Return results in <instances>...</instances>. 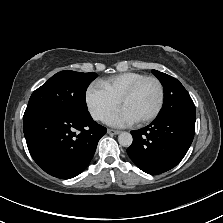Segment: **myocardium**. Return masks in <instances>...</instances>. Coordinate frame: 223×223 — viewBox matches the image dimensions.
<instances>
[{
	"mask_svg": "<svg viewBox=\"0 0 223 223\" xmlns=\"http://www.w3.org/2000/svg\"><path fill=\"white\" fill-rule=\"evenodd\" d=\"M147 81H153L156 84V86L158 88V101H157V105H156L155 109L153 110V112L145 118L136 120V122H138V123L150 122V121L154 120L160 113L162 106H163V101H164V89H163V85L160 82V80L154 76H146V77L140 79L139 81H137L132 87H130L119 98V105L121 106L123 101H125L126 99L133 96L137 92V90Z\"/></svg>",
	"mask_w": 223,
	"mask_h": 223,
	"instance_id": "myocardium-1",
	"label": "myocardium"
}]
</instances>
